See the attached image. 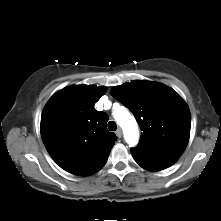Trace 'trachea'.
<instances>
[{"label":"trachea","mask_w":221,"mask_h":221,"mask_svg":"<svg viewBox=\"0 0 221 221\" xmlns=\"http://www.w3.org/2000/svg\"><path fill=\"white\" fill-rule=\"evenodd\" d=\"M108 129H109L110 131H116V129H117L116 123H115L114 121H110V122L108 123Z\"/></svg>","instance_id":"trachea-1"}]
</instances>
